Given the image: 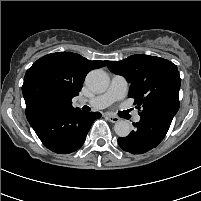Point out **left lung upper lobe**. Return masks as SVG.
Returning a JSON list of instances; mask_svg holds the SVG:
<instances>
[{
  "label": "left lung upper lobe",
  "mask_w": 201,
  "mask_h": 201,
  "mask_svg": "<svg viewBox=\"0 0 201 201\" xmlns=\"http://www.w3.org/2000/svg\"><path fill=\"white\" fill-rule=\"evenodd\" d=\"M110 71L131 83L129 96L141 111L140 117L164 116L173 119L179 103L181 84L177 66L171 61L144 54L122 61H106Z\"/></svg>",
  "instance_id": "5c2ea615"
}]
</instances>
